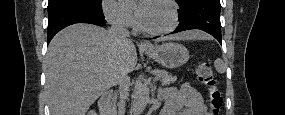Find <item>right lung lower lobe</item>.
Masks as SVG:
<instances>
[{
	"label": "right lung lower lobe",
	"mask_w": 285,
	"mask_h": 115,
	"mask_svg": "<svg viewBox=\"0 0 285 115\" xmlns=\"http://www.w3.org/2000/svg\"><path fill=\"white\" fill-rule=\"evenodd\" d=\"M82 22L104 26L106 20L102 11L83 8H66L48 15V44L66 26Z\"/></svg>",
	"instance_id": "right-lung-lower-lobe-1"
}]
</instances>
